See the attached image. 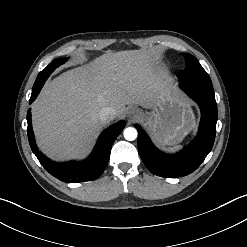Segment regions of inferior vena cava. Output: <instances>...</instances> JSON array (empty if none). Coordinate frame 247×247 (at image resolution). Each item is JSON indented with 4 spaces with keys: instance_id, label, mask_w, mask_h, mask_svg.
Segmentation results:
<instances>
[{
    "instance_id": "obj_1",
    "label": "inferior vena cava",
    "mask_w": 247,
    "mask_h": 247,
    "mask_svg": "<svg viewBox=\"0 0 247 247\" xmlns=\"http://www.w3.org/2000/svg\"><path fill=\"white\" fill-rule=\"evenodd\" d=\"M116 116V111L112 107H104L99 113V120L105 124L112 121Z\"/></svg>"
}]
</instances>
